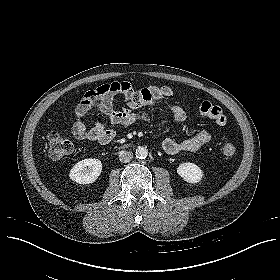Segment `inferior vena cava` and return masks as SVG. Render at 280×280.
I'll return each instance as SVG.
<instances>
[{"mask_svg":"<svg viewBox=\"0 0 280 280\" xmlns=\"http://www.w3.org/2000/svg\"><path fill=\"white\" fill-rule=\"evenodd\" d=\"M133 158V153L129 151H121L119 153L120 162L127 163L130 162Z\"/></svg>","mask_w":280,"mask_h":280,"instance_id":"1","label":"inferior vena cava"}]
</instances>
